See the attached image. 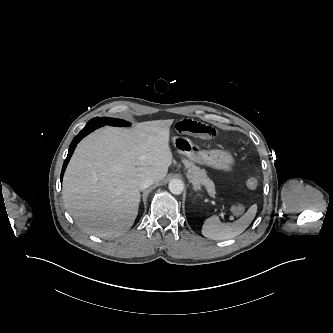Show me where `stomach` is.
I'll return each instance as SVG.
<instances>
[{"mask_svg":"<svg viewBox=\"0 0 333 333\" xmlns=\"http://www.w3.org/2000/svg\"><path fill=\"white\" fill-rule=\"evenodd\" d=\"M174 146L189 159L211 166L215 169L230 171L234 163L232 155L223 150H201L193 142L184 137H173Z\"/></svg>","mask_w":333,"mask_h":333,"instance_id":"stomach-1","label":"stomach"}]
</instances>
